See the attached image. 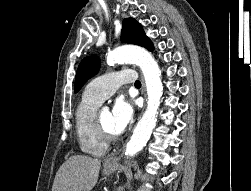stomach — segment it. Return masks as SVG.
Here are the masks:
<instances>
[{
  "label": "stomach",
  "mask_w": 251,
  "mask_h": 191,
  "mask_svg": "<svg viewBox=\"0 0 251 191\" xmlns=\"http://www.w3.org/2000/svg\"><path fill=\"white\" fill-rule=\"evenodd\" d=\"M118 167H119V163H116V165H113V167H104L103 173L104 175H110V173H113V171H116Z\"/></svg>",
  "instance_id": "stomach-1"
}]
</instances>
